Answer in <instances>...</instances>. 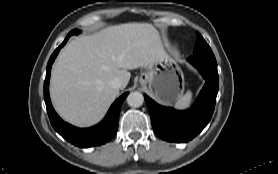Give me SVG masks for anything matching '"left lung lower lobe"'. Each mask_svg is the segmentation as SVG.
Returning <instances> with one entry per match:
<instances>
[{
    "instance_id": "1",
    "label": "left lung lower lobe",
    "mask_w": 278,
    "mask_h": 174,
    "mask_svg": "<svg viewBox=\"0 0 278 174\" xmlns=\"http://www.w3.org/2000/svg\"><path fill=\"white\" fill-rule=\"evenodd\" d=\"M187 60L206 80L197 101L189 110L176 111L163 107L144 95L154 131L160 138L170 142H188L197 136L210 121L215 107L218 92L217 66L193 56Z\"/></svg>"
}]
</instances>
